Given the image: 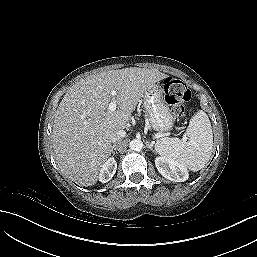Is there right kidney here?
I'll return each instance as SVG.
<instances>
[{
	"label": "right kidney",
	"mask_w": 257,
	"mask_h": 257,
	"mask_svg": "<svg viewBox=\"0 0 257 257\" xmlns=\"http://www.w3.org/2000/svg\"><path fill=\"white\" fill-rule=\"evenodd\" d=\"M116 169L117 163L115 159L113 157L107 159L106 162L101 165V168L99 170V181H101L102 183H106L111 180L116 172Z\"/></svg>",
	"instance_id": "1"
}]
</instances>
